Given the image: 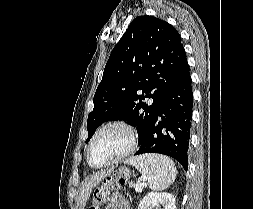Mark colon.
Returning a JSON list of instances; mask_svg holds the SVG:
<instances>
[{
    "mask_svg": "<svg viewBox=\"0 0 253 209\" xmlns=\"http://www.w3.org/2000/svg\"><path fill=\"white\" fill-rule=\"evenodd\" d=\"M121 174H124L125 176L124 179H119L118 177V180H116L114 177H109L103 182V184L100 187H98L94 191L93 203L87 209H99V203L103 200L106 191H108L115 183H123L127 179L128 177L127 173Z\"/></svg>",
    "mask_w": 253,
    "mask_h": 209,
    "instance_id": "obj_1",
    "label": "colon"
}]
</instances>
